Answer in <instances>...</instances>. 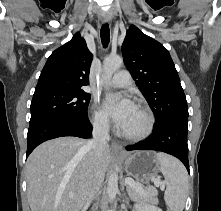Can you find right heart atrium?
<instances>
[{
  "label": "right heart atrium",
  "instance_id": "right-heart-atrium-1",
  "mask_svg": "<svg viewBox=\"0 0 221 211\" xmlns=\"http://www.w3.org/2000/svg\"><path fill=\"white\" fill-rule=\"evenodd\" d=\"M92 123L97 130L107 131L109 129V120L106 114L96 105L92 110Z\"/></svg>",
  "mask_w": 221,
  "mask_h": 211
}]
</instances>
